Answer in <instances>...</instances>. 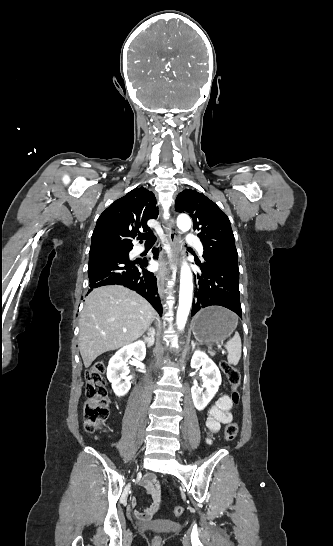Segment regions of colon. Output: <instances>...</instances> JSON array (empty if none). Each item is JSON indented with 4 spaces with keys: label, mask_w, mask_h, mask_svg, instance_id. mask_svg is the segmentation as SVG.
<instances>
[{
    "label": "colon",
    "mask_w": 333,
    "mask_h": 546,
    "mask_svg": "<svg viewBox=\"0 0 333 546\" xmlns=\"http://www.w3.org/2000/svg\"><path fill=\"white\" fill-rule=\"evenodd\" d=\"M221 369L232 389V401L237 404L239 401L238 386L241 381L239 370L228 363L222 361ZM105 364L97 362L86 372V401L84 404L83 424L86 432L93 433L97 431L105 422L108 415L107 389L105 383ZM238 434V424L229 423L224 430V437L227 441H232ZM184 511L182 506H176L173 509V515L181 516ZM159 543V538L154 539Z\"/></svg>",
    "instance_id": "5ec220e1"
}]
</instances>
